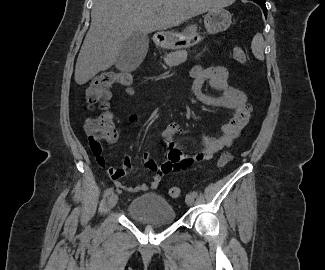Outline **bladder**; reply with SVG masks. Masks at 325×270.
Returning a JSON list of instances; mask_svg holds the SVG:
<instances>
[{
	"label": "bladder",
	"instance_id": "obj_1",
	"mask_svg": "<svg viewBox=\"0 0 325 270\" xmlns=\"http://www.w3.org/2000/svg\"><path fill=\"white\" fill-rule=\"evenodd\" d=\"M130 218L149 225H167L176 220L173 206L155 193L135 197L127 207Z\"/></svg>",
	"mask_w": 325,
	"mask_h": 270
}]
</instances>
